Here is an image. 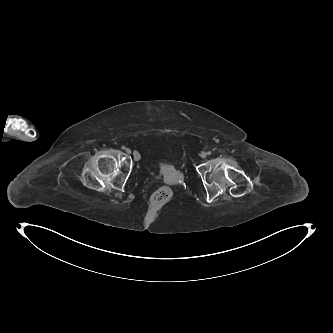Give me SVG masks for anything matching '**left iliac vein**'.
I'll list each match as a JSON object with an SVG mask.
<instances>
[{"mask_svg": "<svg viewBox=\"0 0 333 333\" xmlns=\"http://www.w3.org/2000/svg\"><path fill=\"white\" fill-rule=\"evenodd\" d=\"M200 156H201V158H206V157H207V153H206V152H202V153L200 154Z\"/></svg>", "mask_w": 333, "mask_h": 333, "instance_id": "1", "label": "left iliac vein"}]
</instances>
